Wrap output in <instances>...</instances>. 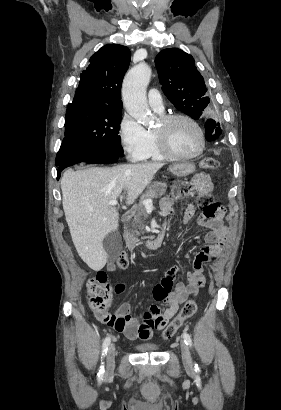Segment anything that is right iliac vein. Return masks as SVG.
<instances>
[{"label":"right iliac vein","instance_id":"obj_1","mask_svg":"<svg viewBox=\"0 0 281 410\" xmlns=\"http://www.w3.org/2000/svg\"><path fill=\"white\" fill-rule=\"evenodd\" d=\"M115 353H116L115 345L111 344L107 352V365H106V375L107 376L111 375L114 371Z\"/></svg>","mask_w":281,"mask_h":410}]
</instances>
